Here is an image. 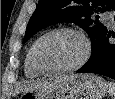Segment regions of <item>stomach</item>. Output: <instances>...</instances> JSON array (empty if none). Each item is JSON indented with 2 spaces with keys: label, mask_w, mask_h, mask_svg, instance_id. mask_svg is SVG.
<instances>
[{
  "label": "stomach",
  "mask_w": 115,
  "mask_h": 99,
  "mask_svg": "<svg viewBox=\"0 0 115 99\" xmlns=\"http://www.w3.org/2000/svg\"><path fill=\"white\" fill-rule=\"evenodd\" d=\"M108 92L103 78L94 74H74L42 89L25 91L21 99H102Z\"/></svg>",
  "instance_id": "0dacf381"
}]
</instances>
